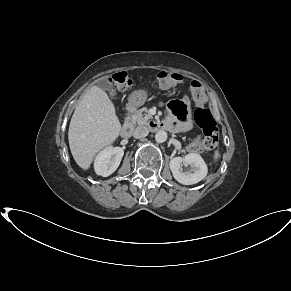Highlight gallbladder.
<instances>
[{
  "mask_svg": "<svg viewBox=\"0 0 291 291\" xmlns=\"http://www.w3.org/2000/svg\"><path fill=\"white\" fill-rule=\"evenodd\" d=\"M98 86L106 91H113L112 84L110 82V79L108 77L102 78L98 82Z\"/></svg>",
  "mask_w": 291,
  "mask_h": 291,
  "instance_id": "bac80fb5",
  "label": "gallbladder"
}]
</instances>
